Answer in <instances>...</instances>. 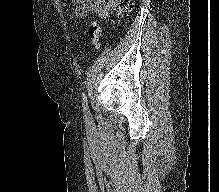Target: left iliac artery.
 I'll return each instance as SVG.
<instances>
[{
  "mask_svg": "<svg viewBox=\"0 0 219 192\" xmlns=\"http://www.w3.org/2000/svg\"><path fill=\"white\" fill-rule=\"evenodd\" d=\"M82 107H83V111L85 113L86 119L89 120L91 118V113L88 107V101H87V96L85 92L82 94Z\"/></svg>",
  "mask_w": 219,
  "mask_h": 192,
  "instance_id": "44dca946",
  "label": "left iliac artery"
}]
</instances>
